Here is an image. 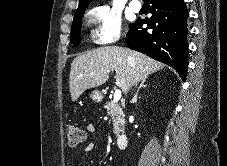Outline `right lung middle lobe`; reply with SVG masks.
<instances>
[{"mask_svg":"<svg viewBox=\"0 0 227 166\" xmlns=\"http://www.w3.org/2000/svg\"><path fill=\"white\" fill-rule=\"evenodd\" d=\"M85 9H78L75 13L74 20L71 28V38L70 42L74 45L80 44V30L82 24V17L84 15ZM131 26V25H130Z\"/></svg>","mask_w":227,"mask_h":166,"instance_id":"right-lung-middle-lobe-1","label":"right lung middle lobe"}]
</instances>
